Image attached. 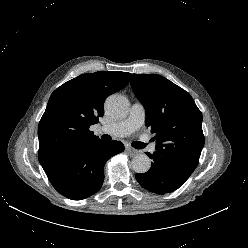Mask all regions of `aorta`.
<instances>
[{"mask_svg": "<svg viewBox=\"0 0 248 248\" xmlns=\"http://www.w3.org/2000/svg\"><path fill=\"white\" fill-rule=\"evenodd\" d=\"M107 112L115 118H123L128 114L129 102L121 95H111L105 102ZM151 161L145 154H137L132 159V168L136 173L143 174L149 171Z\"/></svg>", "mask_w": 248, "mask_h": 248, "instance_id": "obj_1", "label": "aorta"}]
</instances>
